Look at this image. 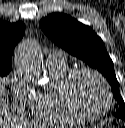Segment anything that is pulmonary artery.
Segmentation results:
<instances>
[{
	"label": "pulmonary artery",
	"mask_w": 125,
	"mask_h": 128,
	"mask_svg": "<svg viewBox=\"0 0 125 128\" xmlns=\"http://www.w3.org/2000/svg\"><path fill=\"white\" fill-rule=\"evenodd\" d=\"M47 64L63 63L65 62V55L61 52H50L46 59Z\"/></svg>",
	"instance_id": "obj_1"
}]
</instances>
